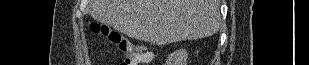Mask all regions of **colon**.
<instances>
[{
  "label": "colon",
  "mask_w": 309,
  "mask_h": 65,
  "mask_svg": "<svg viewBox=\"0 0 309 65\" xmlns=\"http://www.w3.org/2000/svg\"><path fill=\"white\" fill-rule=\"evenodd\" d=\"M92 29L95 33L101 32L98 24H94ZM112 41L119 51L121 65H138L146 61L148 52H144L136 43L121 39L117 35L112 36Z\"/></svg>",
  "instance_id": "colon-1"
}]
</instances>
